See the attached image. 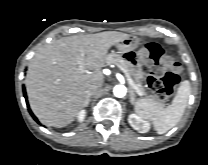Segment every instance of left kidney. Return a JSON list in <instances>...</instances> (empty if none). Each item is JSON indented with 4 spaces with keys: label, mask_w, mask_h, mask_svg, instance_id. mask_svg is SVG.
<instances>
[{
    "label": "left kidney",
    "mask_w": 208,
    "mask_h": 165,
    "mask_svg": "<svg viewBox=\"0 0 208 165\" xmlns=\"http://www.w3.org/2000/svg\"><path fill=\"white\" fill-rule=\"evenodd\" d=\"M128 122L132 128L140 133H146L150 130V124L136 114H130L128 117Z\"/></svg>",
    "instance_id": "1"
}]
</instances>
